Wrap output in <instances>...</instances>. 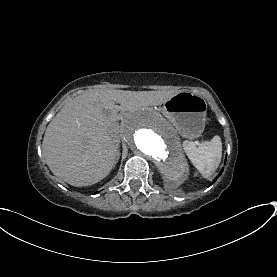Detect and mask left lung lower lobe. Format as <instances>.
<instances>
[{
	"mask_svg": "<svg viewBox=\"0 0 277 277\" xmlns=\"http://www.w3.org/2000/svg\"><path fill=\"white\" fill-rule=\"evenodd\" d=\"M223 170H224V168L220 171L219 175L222 174ZM216 180H217V178H215L213 182H215Z\"/></svg>",
	"mask_w": 277,
	"mask_h": 277,
	"instance_id": "1",
	"label": "left lung lower lobe"
}]
</instances>
